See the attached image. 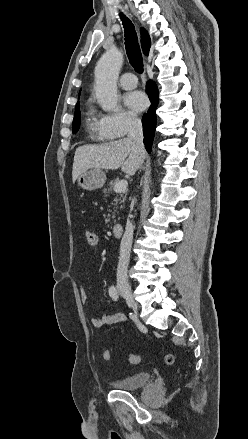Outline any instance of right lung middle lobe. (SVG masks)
<instances>
[{"label": "right lung middle lobe", "instance_id": "obj_1", "mask_svg": "<svg viewBox=\"0 0 248 439\" xmlns=\"http://www.w3.org/2000/svg\"><path fill=\"white\" fill-rule=\"evenodd\" d=\"M80 110L75 111L74 119H73V125H72V132L76 133L78 131V128L80 126Z\"/></svg>", "mask_w": 248, "mask_h": 439}]
</instances>
